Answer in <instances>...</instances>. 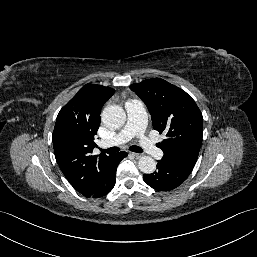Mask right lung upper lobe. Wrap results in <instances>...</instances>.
I'll list each match as a JSON object with an SVG mask.
<instances>
[{
    "label": "right lung upper lobe",
    "mask_w": 257,
    "mask_h": 257,
    "mask_svg": "<svg viewBox=\"0 0 257 257\" xmlns=\"http://www.w3.org/2000/svg\"><path fill=\"white\" fill-rule=\"evenodd\" d=\"M114 94L110 87L84 85L60 110L52 141L56 161L71 185L83 195L92 193L100 182L110 156L92 155L93 141L100 126L101 108Z\"/></svg>",
    "instance_id": "right-lung-upper-lobe-1"
}]
</instances>
